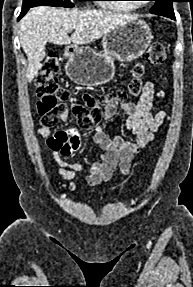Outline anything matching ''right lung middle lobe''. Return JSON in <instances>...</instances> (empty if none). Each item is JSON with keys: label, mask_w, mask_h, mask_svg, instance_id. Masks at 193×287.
Returning a JSON list of instances; mask_svg holds the SVG:
<instances>
[{"label": "right lung middle lobe", "mask_w": 193, "mask_h": 287, "mask_svg": "<svg viewBox=\"0 0 193 287\" xmlns=\"http://www.w3.org/2000/svg\"><path fill=\"white\" fill-rule=\"evenodd\" d=\"M78 1H91V0H78ZM35 6H60L66 8L74 7L71 0H23L22 8H28Z\"/></svg>", "instance_id": "dd1d6c3e"}]
</instances>
